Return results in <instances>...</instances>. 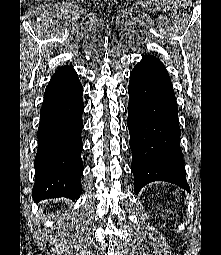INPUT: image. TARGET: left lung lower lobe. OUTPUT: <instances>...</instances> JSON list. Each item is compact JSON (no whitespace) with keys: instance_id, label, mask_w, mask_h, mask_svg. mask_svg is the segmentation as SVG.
I'll list each match as a JSON object with an SVG mask.
<instances>
[{"instance_id":"left-lung-lower-lobe-1","label":"left lung lower lobe","mask_w":221,"mask_h":255,"mask_svg":"<svg viewBox=\"0 0 221 255\" xmlns=\"http://www.w3.org/2000/svg\"><path fill=\"white\" fill-rule=\"evenodd\" d=\"M128 93L135 193L153 181L170 182L190 192L175 93L163 63L154 56H144L130 74Z\"/></svg>"}]
</instances>
